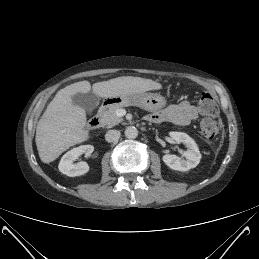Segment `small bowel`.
I'll return each mask as SVG.
<instances>
[{"label": "small bowel", "instance_id": "obj_1", "mask_svg": "<svg viewBox=\"0 0 259 259\" xmlns=\"http://www.w3.org/2000/svg\"><path fill=\"white\" fill-rule=\"evenodd\" d=\"M199 114H204L200 105L196 107L188 101H182L169 105L161 111L149 114L147 120L153 123L170 122L175 125L185 126L194 122Z\"/></svg>", "mask_w": 259, "mask_h": 259}]
</instances>
